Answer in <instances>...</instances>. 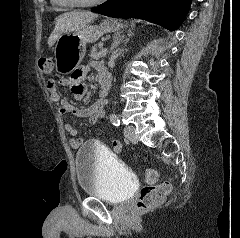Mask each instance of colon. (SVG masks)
Here are the masks:
<instances>
[{
    "instance_id": "1",
    "label": "colon",
    "mask_w": 240,
    "mask_h": 238,
    "mask_svg": "<svg viewBox=\"0 0 240 238\" xmlns=\"http://www.w3.org/2000/svg\"><path fill=\"white\" fill-rule=\"evenodd\" d=\"M39 69L43 74H50L53 69V61L49 57H43L38 62ZM145 179L150 185L141 189L138 201V208L150 210L159 206L171 192V184L163 182L156 184L157 172L154 169H147Z\"/></svg>"
}]
</instances>
